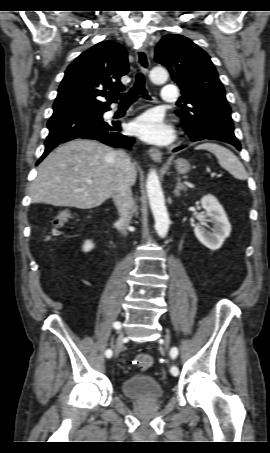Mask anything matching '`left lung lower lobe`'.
<instances>
[{"mask_svg": "<svg viewBox=\"0 0 270 453\" xmlns=\"http://www.w3.org/2000/svg\"><path fill=\"white\" fill-rule=\"evenodd\" d=\"M183 129L186 131V134L193 141H199V140H204V139L219 140V141L227 142V143L233 145L234 147H236L238 150H241V145L236 138H227V137L219 135L217 133H211L202 127L183 126ZM182 148H183V146L176 148L174 151H178Z\"/></svg>", "mask_w": 270, "mask_h": 453, "instance_id": "left-lung-lower-lobe-1", "label": "left lung lower lobe"}]
</instances>
